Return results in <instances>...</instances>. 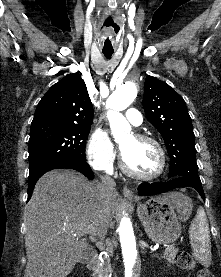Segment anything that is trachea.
Returning <instances> with one entry per match:
<instances>
[{
	"instance_id": "1",
	"label": "trachea",
	"mask_w": 221,
	"mask_h": 277,
	"mask_svg": "<svg viewBox=\"0 0 221 277\" xmlns=\"http://www.w3.org/2000/svg\"><path fill=\"white\" fill-rule=\"evenodd\" d=\"M103 54L106 58H110L113 54V51H103Z\"/></svg>"
}]
</instances>
